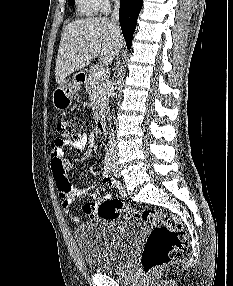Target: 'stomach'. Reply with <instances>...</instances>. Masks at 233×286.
<instances>
[{
    "label": "stomach",
    "mask_w": 233,
    "mask_h": 286,
    "mask_svg": "<svg viewBox=\"0 0 233 286\" xmlns=\"http://www.w3.org/2000/svg\"><path fill=\"white\" fill-rule=\"evenodd\" d=\"M73 85L64 81L52 93V103L56 110L65 111L71 104L75 94Z\"/></svg>",
    "instance_id": "stomach-1"
}]
</instances>
